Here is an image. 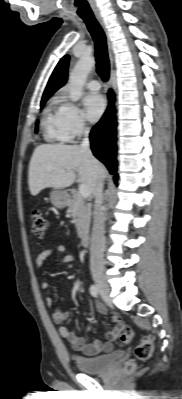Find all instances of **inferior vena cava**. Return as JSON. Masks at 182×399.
<instances>
[{
    "label": "inferior vena cava",
    "instance_id": "602c4592",
    "mask_svg": "<svg viewBox=\"0 0 182 399\" xmlns=\"http://www.w3.org/2000/svg\"><path fill=\"white\" fill-rule=\"evenodd\" d=\"M89 128L84 129V138L80 144V148L85 150L91 157H93L90 150L89 142ZM103 187L104 182L102 178H99L96 183L94 191V212H93V229L91 236V247H90V262L91 271L93 274L101 272L103 269V249H104V215L102 211L103 203Z\"/></svg>",
    "mask_w": 182,
    "mask_h": 399
}]
</instances>
